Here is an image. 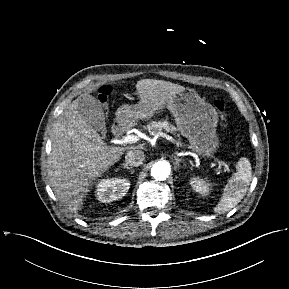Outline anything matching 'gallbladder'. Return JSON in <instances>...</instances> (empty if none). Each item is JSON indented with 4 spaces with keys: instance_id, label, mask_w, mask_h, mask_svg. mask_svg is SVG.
<instances>
[{
    "instance_id": "1",
    "label": "gallbladder",
    "mask_w": 289,
    "mask_h": 289,
    "mask_svg": "<svg viewBox=\"0 0 289 289\" xmlns=\"http://www.w3.org/2000/svg\"><path fill=\"white\" fill-rule=\"evenodd\" d=\"M84 98L86 100H84ZM79 102V111L83 117L87 120V123L96 131H101L103 138L106 134V125L104 112L101 105L96 101V99L87 95L81 97Z\"/></svg>"
}]
</instances>
